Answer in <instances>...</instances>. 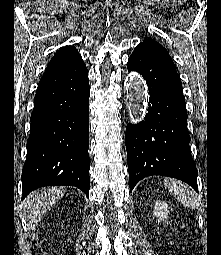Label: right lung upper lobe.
<instances>
[{
    "instance_id": "1",
    "label": "right lung upper lobe",
    "mask_w": 221,
    "mask_h": 255,
    "mask_svg": "<svg viewBox=\"0 0 221 255\" xmlns=\"http://www.w3.org/2000/svg\"><path fill=\"white\" fill-rule=\"evenodd\" d=\"M79 56L80 55H78V51L76 50L75 47L65 46V47L61 48L54 55V57L51 59V61L49 62L48 66L45 70V73L56 70L64 65L68 64L73 59H75L76 57H79Z\"/></svg>"
}]
</instances>
